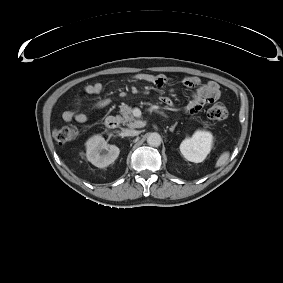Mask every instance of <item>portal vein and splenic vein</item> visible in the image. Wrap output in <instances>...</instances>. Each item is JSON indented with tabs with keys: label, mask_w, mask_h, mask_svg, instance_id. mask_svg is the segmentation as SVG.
<instances>
[{
	"label": "portal vein and splenic vein",
	"mask_w": 283,
	"mask_h": 283,
	"mask_svg": "<svg viewBox=\"0 0 283 283\" xmlns=\"http://www.w3.org/2000/svg\"><path fill=\"white\" fill-rule=\"evenodd\" d=\"M149 111H150V112H152V111H157V112H159L161 115L167 117L166 114H165L163 111H158L155 106H151V107L149 108Z\"/></svg>",
	"instance_id": "18ae733b"
}]
</instances>
